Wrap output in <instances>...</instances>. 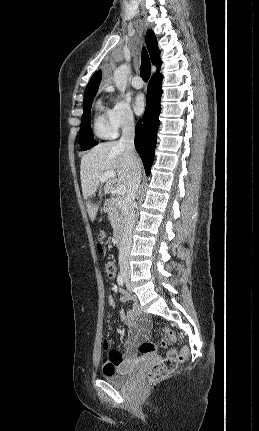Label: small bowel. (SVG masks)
I'll list each match as a JSON object with an SVG mask.
<instances>
[{"instance_id": "c3829d8e", "label": "small bowel", "mask_w": 259, "mask_h": 431, "mask_svg": "<svg viewBox=\"0 0 259 431\" xmlns=\"http://www.w3.org/2000/svg\"><path fill=\"white\" fill-rule=\"evenodd\" d=\"M123 300L127 301V298H123ZM106 302L111 308L115 307V300L112 296H108ZM123 316L131 333V339L126 342V352L124 354L115 349L107 351L102 365L103 372H111L120 365L136 358L138 352L135 345L146 338L150 329L148 320L140 317V311L137 308L127 311Z\"/></svg>"}]
</instances>
